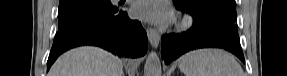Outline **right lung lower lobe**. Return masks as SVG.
<instances>
[{"mask_svg": "<svg viewBox=\"0 0 287 76\" xmlns=\"http://www.w3.org/2000/svg\"><path fill=\"white\" fill-rule=\"evenodd\" d=\"M80 45L102 47L119 57L137 58L147 52L148 39L138 21L126 12L115 11L99 17L78 21L56 33L47 61V70L63 52Z\"/></svg>", "mask_w": 287, "mask_h": 76, "instance_id": "right-lung-lower-lobe-1", "label": "right lung lower lobe"}]
</instances>
